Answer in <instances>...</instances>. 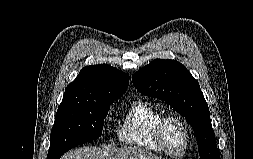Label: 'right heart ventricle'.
<instances>
[{
	"label": "right heart ventricle",
	"mask_w": 253,
	"mask_h": 159,
	"mask_svg": "<svg viewBox=\"0 0 253 159\" xmlns=\"http://www.w3.org/2000/svg\"><path fill=\"white\" fill-rule=\"evenodd\" d=\"M162 116L157 107L144 101L134 102L119 121V141L139 149L160 151L154 140V128Z\"/></svg>",
	"instance_id": "e07e8e85"
}]
</instances>
